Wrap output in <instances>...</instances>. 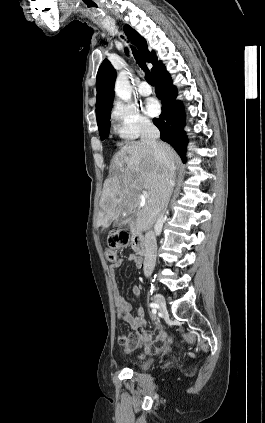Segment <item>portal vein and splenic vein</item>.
Returning a JSON list of instances; mask_svg holds the SVG:
<instances>
[{"label": "portal vein and splenic vein", "instance_id": "1", "mask_svg": "<svg viewBox=\"0 0 265 423\" xmlns=\"http://www.w3.org/2000/svg\"><path fill=\"white\" fill-rule=\"evenodd\" d=\"M148 197V193L146 191H143L141 193V199H146Z\"/></svg>", "mask_w": 265, "mask_h": 423}]
</instances>
